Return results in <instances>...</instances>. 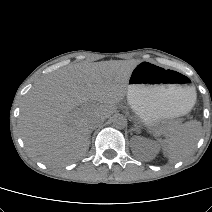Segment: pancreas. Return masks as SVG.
<instances>
[{
    "mask_svg": "<svg viewBox=\"0 0 212 212\" xmlns=\"http://www.w3.org/2000/svg\"><path fill=\"white\" fill-rule=\"evenodd\" d=\"M173 129H174V127H172V126L169 127V130H170V131H172Z\"/></svg>",
    "mask_w": 212,
    "mask_h": 212,
    "instance_id": "obj_1",
    "label": "pancreas"
}]
</instances>
